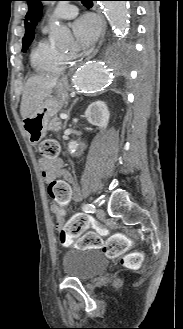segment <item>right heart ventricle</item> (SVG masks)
Returning <instances> with one entry per match:
<instances>
[{
	"instance_id": "e07e8e85",
	"label": "right heart ventricle",
	"mask_w": 183,
	"mask_h": 329,
	"mask_svg": "<svg viewBox=\"0 0 183 329\" xmlns=\"http://www.w3.org/2000/svg\"><path fill=\"white\" fill-rule=\"evenodd\" d=\"M32 68L41 73H60L67 67L66 54L45 39H40L30 54Z\"/></svg>"
}]
</instances>
